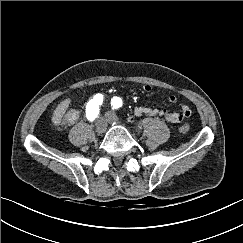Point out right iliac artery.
Masks as SVG:
<instances>
[{
    "label": "right iliac artery",
    "mask_w": 243,
    "mask_h": 243,
    "mask_svg": "<svg viewBox=\"0 0 243 243\" xmlns=\"http://www.w3.org/2000/svg\"><path fill=\"white\" fill-rule=\"evenodd\" d=\"M103 102V95L96 94L93 99H91L86 106V116L89 121H94L99 114V105Z\"/></svg>",
    "instance_id": "1"
}]
</instances>
